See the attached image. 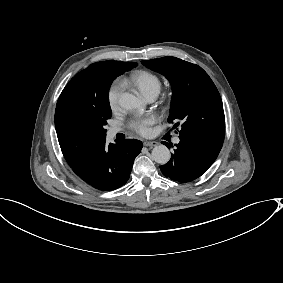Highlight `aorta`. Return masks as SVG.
Listing matches in <instances>:
<instances>
[{
	"mask_svg": "<svg viewBox=\"0 0 283 283\" xmlns=\"http://www.w3.org/2000/svg\"><path fill=\"white\" fill-rule=\"evenodd\" d=\"M119 104L126 110H137L140 113L144 111V104L130 93H123L119 98ZM170 156V151L165 145L155 146L152 150V158L156 163L166 164L169 162Z\"/></svg>",
	"mask_w": 283,
	"mask_h": 283,
	"instance_id": "aorta-1",
	"label": "aorta"
}]
</instances>
